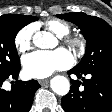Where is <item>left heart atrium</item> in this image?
<instances>
[{"label":"left heart atrium","mask_w":112,"mask_h":112,"mask_svg":"<svg viewBox=\"0 0 112 112\" xmlns=\"http://www.w3.org/2000/svg\"><path fill=\"white\" fill-rule=\"evenodd\" d=\"M72 55L63 48L54 51H35L22 58V67L26 76L45 78L58 70L72 65Z\"/></svg>","instance_id":"39dd6f15"}]
</instances>
